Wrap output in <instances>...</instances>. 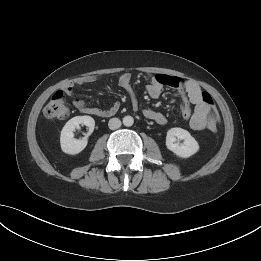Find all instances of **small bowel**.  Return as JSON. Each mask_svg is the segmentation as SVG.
I'll return each instance as SVG.
<instances>
[{
  "label": "small bowel",
  "instance_id": "small-bowel-1",
  "mask_svg": "<svg viewBox=\"0 0 261 261\" xmlns=\"http://www.w3.org/2000/svg\"><path fill=\"white\" fill-rule=\"evenodd\" d=\"M95 80V76H85L79 78L76 82L69 83L65 87V92L72 96L76 85L88 84L94 82ZM118 82L119 85L131 96L133 107L136 109L137 101L131 86V75L129 73L122 74L119 77ZM165 86L172 87L178 92L182 101V115L185 119L190 120V127L193 130L200 131L203 129H209L214 131L216 129V122L219 119L218 112L214 108L213 104L204 100L203 94L205 92H203L196 83L183 82L182 79L178 77L168 75H151L150 82L147 86V92L150 97L158 98ZM73 104L81 113L97 116H110L119 108L118 103H114L111 107L105 110L89 107L81 99H75ZM191 105L194 106L193 111L191 109ZM143 115L158 124L166 123V117L162 113L152 109H145L143 111Z\"/></svg>",
  "mask_w": 261,
  "mask_h": 261
}]
</instances>
